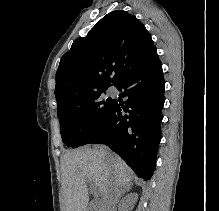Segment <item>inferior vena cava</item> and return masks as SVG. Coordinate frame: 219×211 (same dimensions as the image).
<instances>
[{"instance_id": "602c4592", "label": "inferior vena cava", "mask_w": 219, "mask_h": 211, "mask_svg": "<svg viewBox=\"0 0 219 211\" xmlns=\"http://www.w3.org/2000/svg\"><path fill=\"white\" fill-rule=\"evenodd\" d=\"M108 188V197L105 198V201L103 203V206L106 208H101L100 211H109V207H113L114 203H116L120 193H121V188L119 183H110Z\"/></svg>"}]
</instances>
